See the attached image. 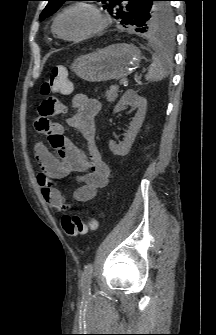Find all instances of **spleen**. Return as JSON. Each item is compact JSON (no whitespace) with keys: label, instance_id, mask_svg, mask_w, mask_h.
<instances>
[{"label":"spleen","instance_id":"1","mask_svg":"<svg viewBox=\"0 0 216 335\" xmlns=\"http://www.w3.org/2000/svg\"><path fill=\"white\" fill-rule=\"evenodd\" d=\"M155 53L152 56L153 62L149 66L148 73L145 78L147 81H159L164 79L171 69V62L167 55L157 46L151 42Z\"/></svg>","mask_w":216,"mask_h":335}]
</instances>
